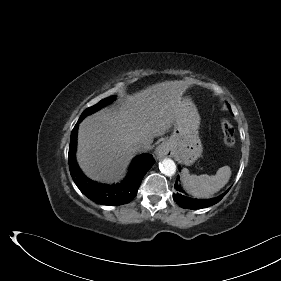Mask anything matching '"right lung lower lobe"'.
<instances>
[{
    "label": "right lung lower lobe",
    "mask_w": 281,
    "mask_h": 281,
    "mask_svg": "<svg viewBox=\"0 0 281 281\" xmlns=\"http://www.w3.org/2000/svg\"><path fill=\"white\" fill-rule=\"evenodd\" d=\"M82 120L79 118L72 130L68 154L69 169L75 184L84 195L98 204L117 206L129 203L136 196L144 175L155 163L153 156L142 154L136 157L131 164L129 175L119 184L103 185L88 179L79 169L75 159L78 124Z\"/></svg>",
    "instance_id": "obj_1"
}]
</instances>
